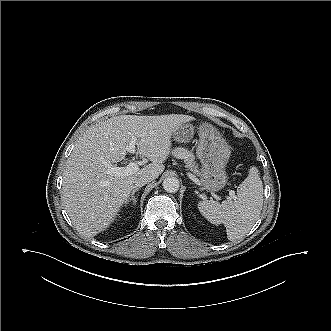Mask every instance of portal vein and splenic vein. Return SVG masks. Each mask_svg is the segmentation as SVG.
<instances>
[{
  "label": "portal vein and splenic vein",
  "instance_id": "18ae733b",
  "mask_svg": "<svg viewBox=\"0 0 331 331\" xmlns=\"http://www.w3.org/2000/svg\"><path fill=\"white\" fill-rule=\"evenodd\" d=\"M126 150L129 152H132L135 150V141H131L128 146H126ZM139 170V166L136 162H130L125 167H112L109 166L108 173L113 174L115 176H124V175H131L136 173ZM191 176V175H189ZM192 178V177H191ZM229 195L231 197H234L235 193L234 191H230Z\"/></svg>",
  "mask_w": 331,
  "mask_h": 331
}]
</instances>
